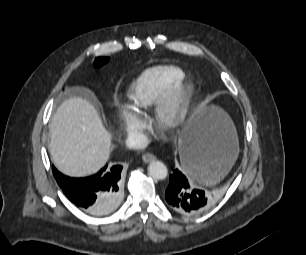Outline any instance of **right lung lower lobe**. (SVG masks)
Segmentation results:
<instances>
[{
  "label": "right lung lower lobe",
  "instance_id": "obj_1",
  "mask_svg": "<svg viewBox=\"0 0 306 255\" xmlns=\"http://www.w3.org/2000/svg\"><path fill=\"white\" fill-rule=\"evenodd\" d=\"M122 166L106 165L97 174L85 178H70L53 167L54 177L67 198L81 210L102 216L117 206L122 189Z\"/></svg>",
  "mask_w": 306,
  "mask_h": 255
}]
</instances>
